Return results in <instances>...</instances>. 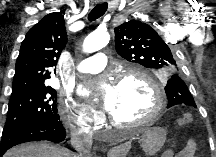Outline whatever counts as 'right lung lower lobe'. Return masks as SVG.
I'll list each match as a JSON object with an SVG mask.
<instances>
[{
	"label": "right lung lower lobe",
	"instance_id": "1",
	"mask_svg": "<svg viewBox=\"0 0 216 157\" xmlns=\"http://www.w3.org/2000/svg\"><path fill=\"white\" fill-rule=\"evenodd\" d=\"M66 137V130L60 120L37 122L2 135L0 157L11 147L25 142L48 140L61 142Z\"/></svg>",
	"mask_w": 216,
	"mask_h": 157
}]
</instances>
